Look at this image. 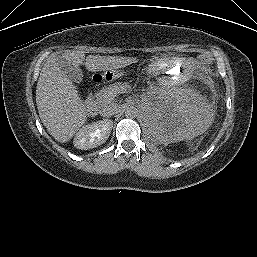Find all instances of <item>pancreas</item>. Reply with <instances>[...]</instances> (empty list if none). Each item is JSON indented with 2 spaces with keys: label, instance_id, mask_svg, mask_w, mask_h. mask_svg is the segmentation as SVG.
<instances>
[{
  "label": "pancreas",
  "instance_id": "1",
  "mask_svg": "<svg viewBox=\"0 0 257 257\" xmlns=\"http://www.w3.org/2000/svg\"><path fill=\"white\" fill-rule=\"evenodd\" d=\"M129 85L127 83L116 82L114 84L103 87L100 91L95 94L94 102L97 106H104L110 103L114 99V92L117 89L127 88Z\"/></svg>",
  "mask_w": 257,
  "mask_h": 257
}]
</instances>
